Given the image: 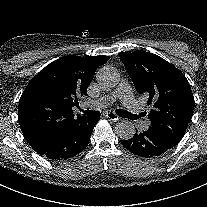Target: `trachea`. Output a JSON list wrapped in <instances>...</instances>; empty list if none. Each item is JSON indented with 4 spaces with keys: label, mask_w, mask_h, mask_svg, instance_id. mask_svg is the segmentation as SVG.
Listing matches in <instances>:
<instances>
[{
    "label": "trachea",
    "mask_w": 207,
    "mask_h": 207,
    "mask_svg": "<svg viewBox=\"0 0 207 207\" xmlns=\"http://www.w3.org/2000/svg\"><path fill=\"white\" fill-rule=\"evenodd\" d=\"M84 114H85L86 116H89V117H98V116H100V113L95 112V111H93V110H86V111H84ZM117 114H118L120 117L128 118V119H130V120H135V119L138 118V117L135 116L134 114H132V113H130V112H128V111H125V110H118V111H117Z\"/></svg>",
    "instance_id": "3493384b"
}]
</instances>
